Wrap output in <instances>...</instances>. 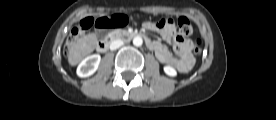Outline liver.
<instances>
[{"mask_svg":"<svg viewBox=\"0 0 276 120\" xmlns=\"http://www.w3.org/2000/svg\"><path fill=\"white\" fill-rule=\"evenodd\" d=\"M97 43L94 34H88L77 40L68 49V62L71 66L77 65L85 56L90 54Z\"/></svg>","mask_w":276,"mask_h":120,"instance_id":"1","label":"liver"}]
</instances>
